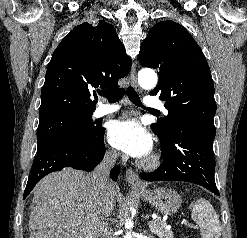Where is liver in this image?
I'll return each instance as SVG.
<instances>
[{
  "mask_svg": "<svg viewBox=\"0 0 247 238\" xmlns=\"http://www.w3.org/2000/svg\"><path fill=\"white\" fill-rule=\"evenodd\" d=\"M115 203V187L96 195L90 174L71 168L51 173L34 189L30 238H98V225Z\"/></svg>",
  "mask_w": 247,
  "mask_h": 238,
  "instance_id": "obj_1",
  "label": "liver"
}]
</instances>
